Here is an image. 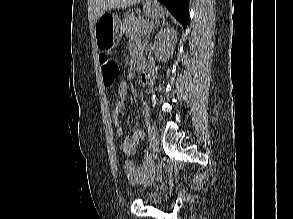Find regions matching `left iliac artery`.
Wrapping results in <instances>:
<instances>
[{"instance_id": "obj_1", "label": "left iliac artery", "mask_w": 293, "mask_h": 219, "mask_svg": "<svg viewBox=\"0 0 293 219\" xmlns=\"http://www.w3.org/2000/svg\"><path fill=\"white\" fill-rule=\"evenodd\" d=\"M143 105H144L145 121L148 125L150 122V109L145 102L143 103Z\"/></svg>"}]
</instances>
